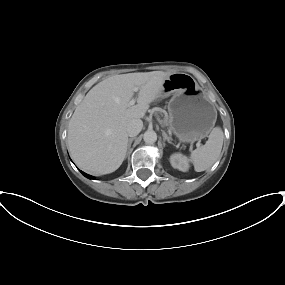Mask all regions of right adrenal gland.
Wrapping results in <instances>:
<instances>
[{"label": "right adrenal gland", "mask_w": 285, "mask_h": 285, "mask_svg": "<svg viewBox=\"0 0 285 285\" xmlns=\"http://www.w3.org/2000/svg\"><path fill=\"white\" fill-rule=\"evenodd\" d=\"M134 139H135V138H130V139H129L128 147H127V150H128V151L130 150L131 144H132V142H133Z\"/></svg>", "instance_id": "1"}]
</instances>
